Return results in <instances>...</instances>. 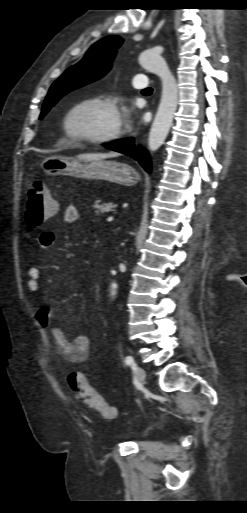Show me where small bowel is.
I'll return each instance as SVG.
<instances>
[{
	"mask_svg": "<svg viewBox=\"0 0 247 513\" xmlns=\"http://www.w3.org/2000/svg\"><path fill=\"white\" fill-rule=\"evenodd\" d=\"M80 214L76 206L69 205L63 212V222L72 224L79 220ZM56 240V232L50 229H43L37 236L38 246L41 250L53 245ZM42 270L38 265H31L27 270V290L31 293L38 292L41 287ZM56 308L48 305L40 307L35 318L51 334L57 356L63 362L81 363L85 361L90 353L91 341L88 336H68L55 322Z\"/></svg>",
	"mask_w": 247,
	"mask_h": 513,
	"instance_id": "obj_1",
	"label": "small bowel"
}]
</instances>
